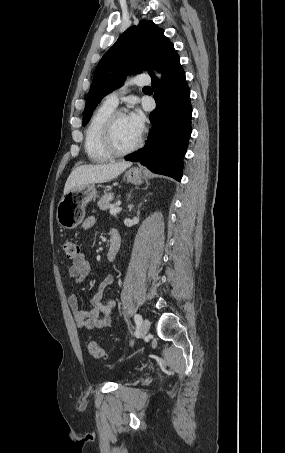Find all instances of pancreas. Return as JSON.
Masks as SVG:
<instances>
[{"mask_svg": "<svg viewBox=\"0 0 285 453\" xmlns=\"http://www.w3.org/2000/svg\"><path fill=\"white\" fill-rule=\"evenodd\" d=\"M114 198L113 193H105L100 200L98 201L97 205L101 210H107L111 207L110 201Z\"/></svg>", "mask_w": 285, "mask_h": 453, "instance_id": "obj_1", "label": "pancreas"}]
</instances>
